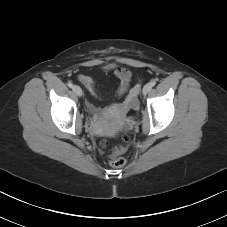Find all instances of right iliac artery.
Instances as JSON below:
<instances>
[{
    "instance_id": "right-iliac-artery-1",
    "label": "right iliac artery",
    "mask_w": 227,
    "mask_h": 227,
    "mask_svg": "<svg viewBox=\"0 0 227 227\" xmlns=\"http://www.w3.org/2000/svg\"><path fill=\"white\" fill-rule=\"evenodd\" d=\"M68 87L72 88L73 84L71 82L68 83Z\"/></svg>"
}]
</instances>
